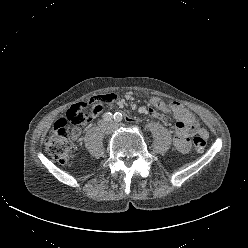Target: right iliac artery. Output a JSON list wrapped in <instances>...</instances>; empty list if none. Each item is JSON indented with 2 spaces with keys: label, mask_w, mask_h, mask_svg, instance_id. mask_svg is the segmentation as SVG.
Returning <instances> with one entry per match:
<instances>
[{
  "label": "right iliac artery",
  "mask_w": 248,
  "mask_h": 248,
  "mask_svg": "<svg viewBox=\"0 0 248 248\" xmlns=\"http://www.w3.org/2000/svg\"><path fill=\"white\" fill-rule=\"evenodd\" d=\"M103 119H104L105 121H111V120L113 119L112 113H110V112L104 113Z\"/></svg>",
  "instance_id": "82829eb1"
}]
</instances>
